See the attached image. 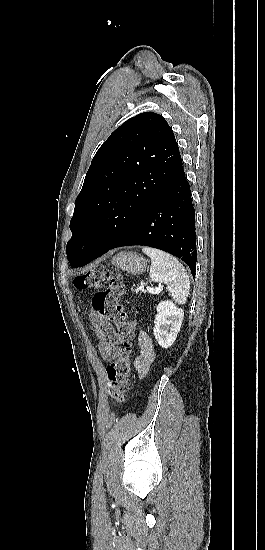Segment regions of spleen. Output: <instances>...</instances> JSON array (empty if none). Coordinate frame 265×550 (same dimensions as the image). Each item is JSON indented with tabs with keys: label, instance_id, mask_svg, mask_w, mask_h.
I'll return each instance as SVG.
<instances>
[{
	"label": "spleen",
	"instance_id": "3e777b00",
	"mask_svg": "<svg viewBox=\"0 0 265 550\" xmlns=\"http://www.w3.org/2000/svg\"><path fill=\"white\" fill-rule=\"evenodd\" d=\"M142 251L151 258V279L159 282L161 288L166 285L176 303H185L190 281L184 266L175 257L159 249L143 247Z\"/></svg>",
	"mask_w": 265,
	"mask_h": 550
}]
</instances>
